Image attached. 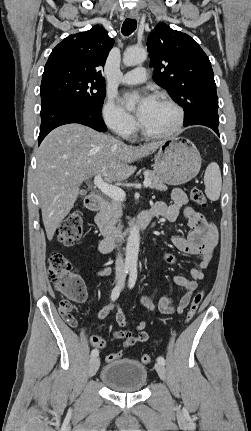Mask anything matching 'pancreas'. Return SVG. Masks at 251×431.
Wrapping results in <instances>:
<instances>
[{"mask_svg":"<svg viewBox=\"0 0 251 431\" xmlns=\"http://www.w3.org/2000/svg\"><path fill=\"white\" fill-rule=\"evenodd\" d=\"M144 176L151 180V184L149 185L151 189L167 190V186L155 172L147 170L144 172ZM121 216L122 203L120 201L111 199L106 203L95 218L96 224L99 226L103 236L110 237L115 233V225Z\"/></svg>","mask_w":251,"mask_h":431,"instance_id":"1","label":"pancreas"}]
</instances>
